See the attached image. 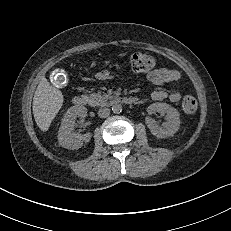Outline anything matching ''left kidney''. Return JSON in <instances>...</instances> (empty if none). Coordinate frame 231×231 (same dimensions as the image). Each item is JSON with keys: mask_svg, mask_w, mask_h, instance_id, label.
<instances>
[{"mask_svg": "<svg viewBox=\"0 0 231 231\" xmlns=\"http://www.w3.org/2000/svg\"><path fill=\"white\" fill-rule=\"evenodd\" d=\"M149 113L159 112L166 115V122L158 126L152 118H146V124L151 133L157 138L173 136L180 126L179 112L167 103H153L148 107Z\"/></svg>", "mask_w": 231, "mask_h": 231, "instance_id": "obj_1", "label": "left kidney"}]
</instances>
